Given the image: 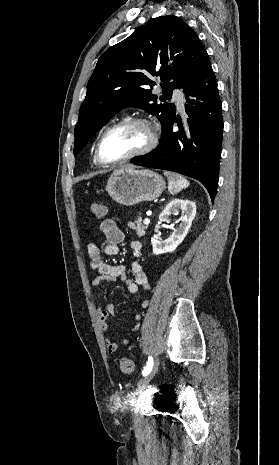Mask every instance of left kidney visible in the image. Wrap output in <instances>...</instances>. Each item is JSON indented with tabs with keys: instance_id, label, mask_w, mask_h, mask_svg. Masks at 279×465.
Returning a JSON list of instances; mask_svg holds the SVG:
<instances>
[{
	"instance_id": "left-kidney-1",
	"label": "left kidney",
	"mask_w": 279,
	"mask_h": 465,
	"mask_svg": "<svg viewBox=\"0 0 279 465\" xmlns=\"http://www.w3.org/2000/svg\"><path fill=\"white\" fill-rule=\"evenodd\" d=\"M180 211L182 212V216L179 219V225L168 239L162 241L157 237L151 238L153 253L155 255L173 252L186 237L196 215V204L193 201L173 199L160 214L159 221L170 223L171 215H177Z\"/></svg>"
}]
</instances>
